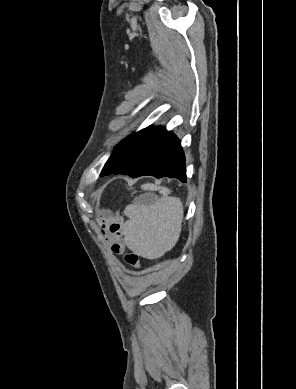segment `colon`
Returning <instances> with one entry per match:
<instances>
[{
  "mask_svg": "<svg viewBox=\"0 0 296 389\" xmlns=\"http://www.w3.org/2000/svg\"><path fill=\"white\" fill-rule=\"evenodd\" d=\"M125 261L126 263L134 268H139L140 267V261L139 258L136 254L133 253H127L125 255Z\"/></svg>",
  "mask_w": 296,
  "mask_h": 389,
  "instance_id": "colon-1",
  "label": "colon"
}]
</instances>
